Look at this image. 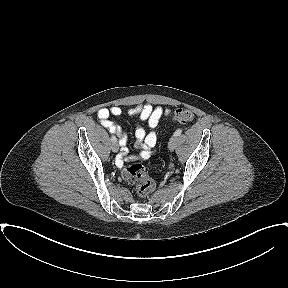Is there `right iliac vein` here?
<instances>
[{
  "label": "right iliac vein",
  "instance_id": "1",
  "mask_svg": "<svg viewBox=\"0 0 288 288\" xmlns=\"http://www.w3.org/2000/svg\"><path fill=\"white\" fill-rule=\"evenodd\" d=\"M111 150H112L113 152H118V150H119V144H118L117 141L112 142V144H111Z\"/></svg>",
  "mask_w": 288,
  "mask_h": 288
}]
</instances>
